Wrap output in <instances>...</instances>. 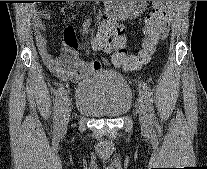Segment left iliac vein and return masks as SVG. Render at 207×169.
I'll use <instances>...</instances> for the list:
<instances>
[{
  "label": "left iliac vein",
  "instance_id": "obj_1",
  "mask_svg": "<svg viewBox=\"0 0 207 169\" xmlns=\"http://www.w3.org/2000/svg\"><path fill=\"white\" fill-rule=\"evenodd\" d=\"M137 111H138L139 120H140L142 127H148L149 118H148L146 107H145V104L142 98H140L139 100Z\"/></svg>",
  "mask_w": 207,
  "mask_h": 169
}]
</instances>
